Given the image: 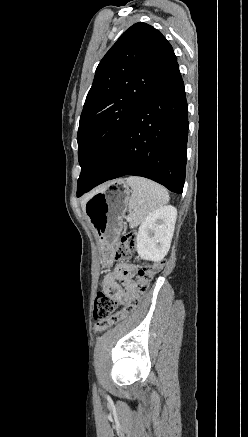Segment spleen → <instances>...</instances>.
I'll return each instance as SVG.
<instances>
[{"label": "spleen", "instance_id": "3e777b00", "mask_svg": "<svg viewBox=\"0 0 248 437\" xmlns=\"http://www.w3.org/2000/svg\"><path fill=\"white\" fill-rule=\"evenodd\" d=\"M127 184L133 190L128 203L130 228L138 226L150 213L169 201L167 190L156 182L138 176H130L127 178Z\"/></svg>", "mask_w": 248, "mask_h": 437}]
</instances>
